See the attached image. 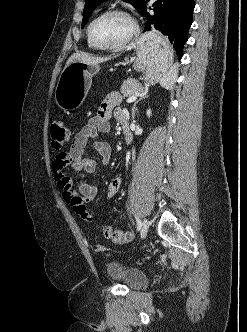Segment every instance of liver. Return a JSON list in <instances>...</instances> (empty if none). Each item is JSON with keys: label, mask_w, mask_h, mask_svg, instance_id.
I'll use <instances>...</instances> for the list:
<instances>
[{"label": "liver", "mask_w": 247, "mask_h": 332, "mask_svg": "<svg viewBox=\"0 0 247 332\" xmlns=\"http://www.w3.org/2000/svg\"><path fill=\"white\" fill-rule=\"evenodd\" d=\"M108 60H111V57H95L86 53H74L73 55L70 56V58L68 59L65 67L67 65H69L70 63H72L73 61H80L86 64H100L103 62H106Z\"/></svg>", "instance_id": "obj_1"}]
</instances>
